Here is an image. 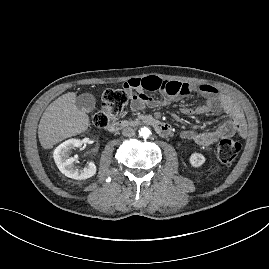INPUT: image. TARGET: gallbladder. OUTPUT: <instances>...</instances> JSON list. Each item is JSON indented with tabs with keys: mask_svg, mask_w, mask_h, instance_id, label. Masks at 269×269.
<instances>
[{
	"mask_svg": "<svg viewBox=\"0 0 269 269\" xmlns=\"http://www.w3.org/2000/svg\"><path fill=\"white\" fill-rule=\"evenodd\" d=\"M95 104L96 99L94 95L90 93H83L76 99V106L86 113L91 112L95 108Z\"/></svg>",
	"mask_w": 269,
	"mask_h": 269,
	"instance_id": "gallbladder-1",
	"label": "gallbladder"
}]
</instances>
